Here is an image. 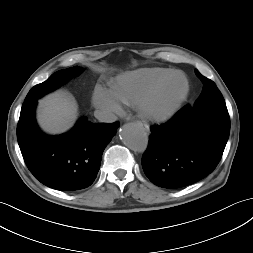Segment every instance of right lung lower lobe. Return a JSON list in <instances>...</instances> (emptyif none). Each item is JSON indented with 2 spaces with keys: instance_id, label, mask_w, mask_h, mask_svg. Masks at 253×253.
Masks as SVG:
<instances>
[{
  "instance_id": "1",
  "label": "right lung lower lobe",
  "mask_w": 253,
  "mask_h": 253,
  "mask_svg": "<svg viewBox=\"0 0 253 253\" xmlns=\"http://www.w3.org/2000/svg\"><path fill=\"white\" fill-rule=\"evenodd\" d=\"M37 100L23 104L17 126L18 144L28 169L41 183L56 190L74 191L90 186L118 122L91 123L83 117L70 132L48 136L35 121Z\"/></svg>"
}]
</instances>
